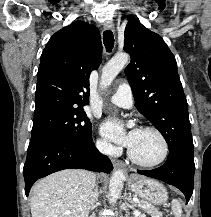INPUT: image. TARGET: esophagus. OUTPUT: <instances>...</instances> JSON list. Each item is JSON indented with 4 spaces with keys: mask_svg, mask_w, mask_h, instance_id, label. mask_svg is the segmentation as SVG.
Masks as SVG:
<instances>
[{
    "mask_svg": "<svg viewBox=\"0 0 211 217\" xmlns=\"http://www.w3.org/2000/svg\"><path fill=\"white\" fill-rule=\"evenodd\" d=\"M104 29H105V30L114 31V24H113V22H111V21L106 22V23L104 24ZM112 163H113V165H114L115 167H124V166H125V164H124L122 161L116 160V159H113V160H112Z\"/></svg>",
    "mask_w": 211,
    "mask_h": 217,
    "instance_id": "34e87169",
    "label": "esophagus"
}]
</instances>
